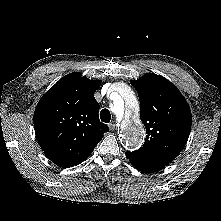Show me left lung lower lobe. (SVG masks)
I'll list each match as a JSON object with an SVG mask.
<instances>
[{"instance_id":"obj_1","label":"left lung lower lobe","mask_w":221,"mask_h":221,"mask_svg":"<svg viewBox=\"0 0 221 221\" xmlns=\"http://www.w3.org/2000/svg\"><path fill=\"white\" fill-rule=\"evenodd\" d=\"M126 157L136 169L144 173L157 172L165 167L164 165L136 157L129 152H126Z\"/></svg>"}]
</instances>
